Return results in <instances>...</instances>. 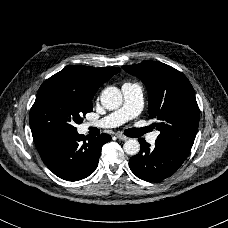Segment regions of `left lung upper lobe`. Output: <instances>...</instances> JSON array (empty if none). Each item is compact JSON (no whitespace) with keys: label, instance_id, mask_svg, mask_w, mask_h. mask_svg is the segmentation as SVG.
<instances>
[{"label":"left lung upper lobe","instance_id":"1","mask_svg":"<svg viewBox=\"0 0 228 228\" xmlns=\"http://www.w3.org/2000/svg\"><path fill=\"white\" fill-rule=\"evenodd\" d=\"M148 89L149 114L159 120L157 140L192 148L199 125V108L192 85L175 68L158 61L123 66Z\"/></svg>","mask_w":228,"mask_h":228}]
</instances>
